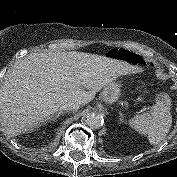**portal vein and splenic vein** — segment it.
I'll use <instances>...</instances> for the list:
<instances>
[{
	"label": "portal vein and splenic vein",
	"instance_id": "18ae733b",
	"mask_svg": "<svg viewBox=\"0 0 177 177\" xmlns=\"http://www.w3.org/2000/svg\"><path fill=\"white\" fill-rule=\"evenodd\" d=\"M142 110L147 112V108L146 107H144Z\"/></svg>",
	"mask_w": 177,
	"mask_h": 177
}]
</instances>
